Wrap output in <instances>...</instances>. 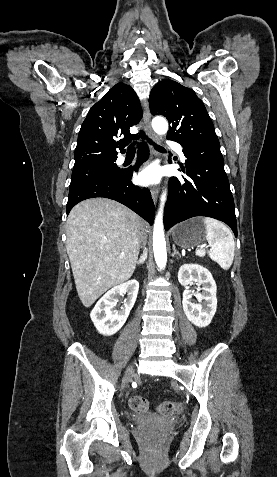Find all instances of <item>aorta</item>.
I'll list each match as a JSON object with an SVG mask.
<instances>
[{
    "instance_id": "obj_1",
    "label": "aorta",
    "mask_w": 277,
    "mask_h": 477,
    "mask_svg": "<svg viewBox=\"0 0 277 477\" xmlns=\"http://www.w3.org/2000/svg\"><path fill=\"white\" fill-rule=\"evenodd\" d=\"M152 127L154 131L159 135H164L168 131V123L162 117H155L152 120ZM167 199V192L164 191L160 198V208L158 214L156 215L153 229V251L154 257L157 266L162 269L166 266L167 262V252H166V241L164 235V226H163V208L165 201Z\"/></svg>"
}]
</instances>
